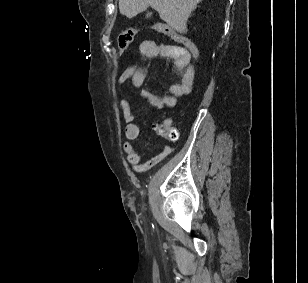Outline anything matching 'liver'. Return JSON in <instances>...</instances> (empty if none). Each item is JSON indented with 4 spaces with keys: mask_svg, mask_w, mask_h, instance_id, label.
Instances as JSON below:
<instances>
[{
    "mask_svg": "<svg viewBox=\"0 0 308 283\" xmlns=\"http://www.w3.org/2000/svg\"><path fill=\"white\" fill-rule=\"evenodd\" d=\"M202 0H119V10L127 18H133L149 6L160 18L180 33L187 32V20Z\"/></svg>",
    "mask_w": 308,
    "mask_h": 283,
    "instance_id": "6515ba94",
    "label": "liver"
}]
</instances>
